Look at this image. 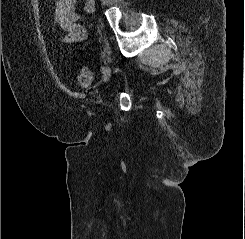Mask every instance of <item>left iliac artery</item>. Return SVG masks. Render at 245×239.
<instances>
[{
  "label": "left iliac artery",
  "mask_w": 245,
  "mask_h": 239,
  "mask_svg": "<svg viewBox=\"0 0 245 239\" xmlns=\"http://www.w3.org/2000/svg\"><path fill=\"white\" fill-rule=\"evenodd\" d=\"M104 70H105V67L102 66V67H101V72H102V74L104 73Z\"/></svg>",
  "instance_id": "left-iliac-artery-1"
}]
</instances>
